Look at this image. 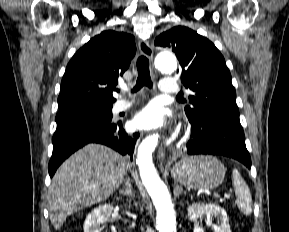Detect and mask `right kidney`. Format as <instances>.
<instances>
[{"label": "right kidney", "mask_w": 289, "mask_h": 232, "mask_svg": "<svg viewBox=\"0 0 289 232\" xmlns=\"http://www.w3.org/2000/svg\"><path fill=\"white\" fill-rule=\"evenodd\" d=\"M113 206L111 204H105L93 209L86 217L84 222V232H100V225L107 222ZM113 232H117L115 228H112Z\"/></svg>", "instance_id": "ca27d5eb"}]
</instances>
